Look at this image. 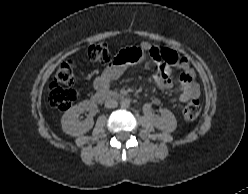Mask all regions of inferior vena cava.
<instances>
[{
	"label": "inferior vena cava",
	"mask_w": 248,
	"mask_h": 194,
	"mask_svg": "<svg viewBox=\"0 0 248 194\" xmlns=\"http://www.w3.org/2000/svg\"><path fill=\"white\" fill-rule=\"evenodd\" d=\"M117 105H118V102L115 99L110 98L105 101L106 108H115L117 107Z\"/></svg>",
	"instance_id": "602c4592"
}]
</instances>
